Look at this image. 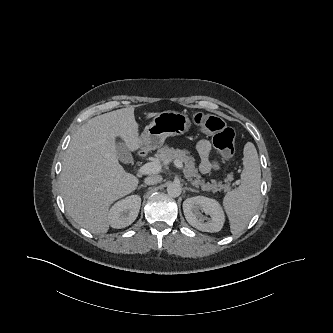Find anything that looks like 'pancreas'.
<instances>
[{
    "label": "pancreas",
    "instance_id": "obj_1",
    "mask_svg": "<svg viewBox=\"0 0 333 333\" xmlns=\"http://www.w3.org/2000/svg\"><path fill=\"white\" fill-rule=\"evenodd\" d=\"M155 157L165 165L169 164L173 160H180L185 165L183 168L185 177L192 183L193 186L201 187L204 191L217 192L221 190H231L229 182L230 178L225 179V184L217 182L216 180H211V183H205V181L201 179V175L195 167L194 158L189 155L188 150L174 149L164 146L157 151Z\"/></svg>",
    "mask_w": 333,
    "mask_h": 333
}]
</instances>
